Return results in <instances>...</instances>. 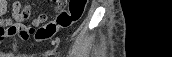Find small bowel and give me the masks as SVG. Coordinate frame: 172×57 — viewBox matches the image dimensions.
Wrapping results in <instances>:
<instances>
[{
  "label": "small bowel",
  "mask_w": 172,
  "mask_h": 57,
  "mask_svg": "<svg viewBox=\"0 0 172 57\" xmlns=\"http://www.w3.org/2000/svg\"><path fill=\"white\" fill-rule=\"evenodd\" d=\"M29 8L23 7L21 0L12 3L11 8L6 0H0V44L7 41H27L30 37L36 41H44L39 38L44 30L43 23L47 20L46 14L38 15L30 24L27 23L31 16L30 13L23 14V10ZM10 12V16H7Z\"/></svg>",
  "instance_id": "small-bowel-1"
}]
</instances>
